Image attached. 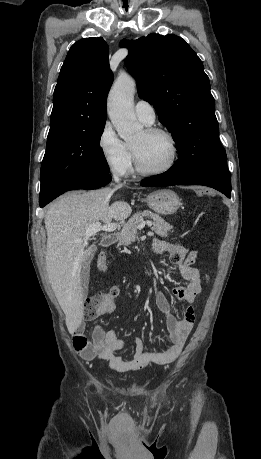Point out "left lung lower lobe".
<instances>
[{
    "mask_svg": "<svg viewBox=\"0 0 261 459\" xmlns=\"http://www.w3.org/2000/svg\"><path fill=\"white\" fill-rule=\"evenodd\" d=\"M190 184L209 186L231 197L230 173L226 161L202 165L186 174L171 168L161 175L146 179L141 186L163 187Z\"/></svg>",
    "mask_w": 261,
    "mask_h": 459,
    "instance_id": "left-lung-lower-lobe-1",
    "label": "left lung lower lobe"
}]
</instances>
